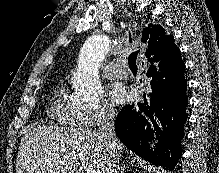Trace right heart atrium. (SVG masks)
I'll list each match as a JSON object with an SVG mask.
<instances>
[{"instance_id":"d8ad5b80","label":"right heart atrium","mask_w":219,"mask_h":173,"mask_svg":"<svg viewBox=\"0 0 219 173\" xmlns=\"http://www.w3.org/2000/svg\"><path fill=\"white\" fill-rule=\"evenodd\" d=\"M114 115V108L107 101L102 100L94 108L81 111V123L87 127H95L112 120Z\"/></svg>"}]
</instances>
